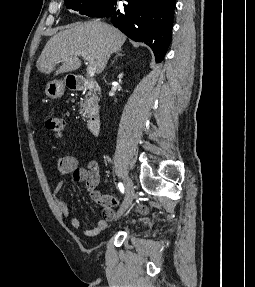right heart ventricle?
<instances>
[{
  "label": "right heart ventricle",
  "instance_id": "1",
  "mask_svg": "<svg viewBox=\"0 0 255 287\" xmlns=\"http://www.w3.org/2000/svg\"><path fill=\"white\" fill-rule=\"evenodd\" d=\"M124 48H136V47H124Z\"/></svg>",
  "mask_w": 255,
  "mask_h": 287
}]
</instances>
